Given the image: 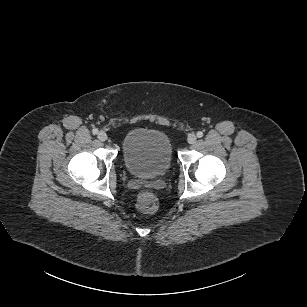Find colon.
<instances>
[{
  "label": "colon",
  "instance_id": "5ec220e1",
  "mask_svg": "<svg viewBox=\"0 0 307 307\" xmlns=\"http://www.w3.org/2000/svg\"><path fill=\"white\" fill-rule=\"evenodd\" d=\"M159 205L158 198L150 191H142L138 194L136 208L141 213H152Z\"/></svg>",
  "mask_w": 307,
  "mask_h": 307
}]
</instances>
